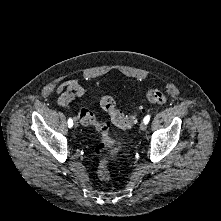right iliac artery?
<instances>
[{"mask_svg":"<svg viewBox=\"0 0 221 221\" xmlns=\"http://www.w3.org/2000/svg\"><path fill=\"white\" fill-rule=\"evenodd\" d=\"M73 126V120L72 119H68V127L71 128Z\"/></svg>","mask_w":221,"mask_h":221,"instance_id":"82829eb1","label":"right iliac artery"}]
</instances>
